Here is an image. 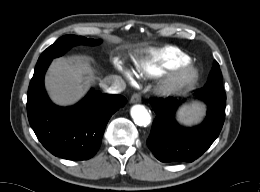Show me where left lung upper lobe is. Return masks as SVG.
<instances>
[{
  "instance_id": "obj_1",
  "label": "left lung upper lobe",
  "mask_w": 260,
  "mask_h": 192,
  "mask_svg": "<svg viewBox=\"0 0 260 192\" xmlns=\"http://www.w3.org/2000/svg\"><path fill=\"white\" fill-rule=\"evenodd\" d=\"M205 87H222V74L219 64L214 61V66L210 72L209 80Z\"/></svg>"
}]
</instances>
